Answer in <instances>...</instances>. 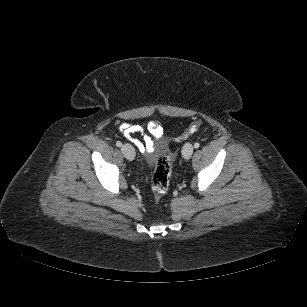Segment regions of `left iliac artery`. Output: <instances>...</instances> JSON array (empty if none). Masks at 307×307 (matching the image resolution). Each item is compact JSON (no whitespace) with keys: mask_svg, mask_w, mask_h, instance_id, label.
<instances>
[{"mask_svg":"<svg viewBox=\"0 0 307 307\" xmlns=\"http://www.w3.org/2000/svg\"><path fill=\"white\" fill-rule=\"evenodd\" d=\"M199 146H200V144L197 143V142L194 144V147H195V148H199Z\"/></svg>","mask_w":307,"mask_h":307,"instance_id":"1","label":"left iliac artery"}]
</instances>
